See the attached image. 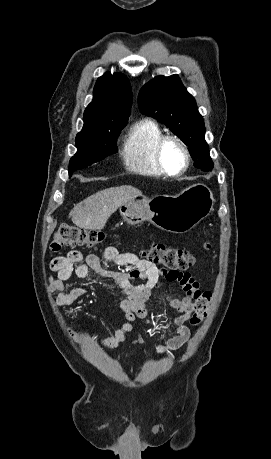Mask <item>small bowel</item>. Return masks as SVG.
I'll use <instances>...</instances> for the list:
<instances>
[{
  "mask_svg": "<svg viewBox=\"0 0 271 459\" xmlns=\"http://www.w3.org/2000/svg\"><path fill=\"white\" fill-rule=\"evenodd\" d=\"M104 262H114L119 266H132L130 272L112 271L105 267ZM50 268L57 274V278H50L49 288L58 292L57 303L69 305L87 294V288L77 287L68 292L64 291L63 281L75 273L81 279H98L108 281L119 289L125 298L120 303V308L125 316V323L116 331L115 335L100 341L105 349H114L124 341L132 330V322L136 318H145L147 315L146 305L151 297L153 288L158 286L160 277L167 282H177L183 296L173 297L169 294L164 296L169 306L182 315L173 319L176 336L169 339L165 344L158 345L156 351L159 355L171 351H177L184 347L190 340L191 331L184 325L194 310L196 299L201 294L200 284L188 272L168 271L159 269L154 263L142 259L135 253L119 252L116 247L105 248L101 257L94 254L84 255L81 251L72 250L66 256L56 257L52 260ZM141 280L143 283H136ZM75 339L77 335L72 332Z\"/></svg>",
  "mask_w": 271,
  "mask_h": 459,
  "instance_id": "small-bowel-1",
  "label": "small bowel"
}]
</instances>
